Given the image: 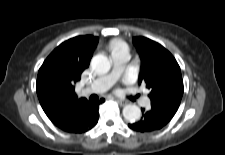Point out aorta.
I'll list each match as a JSON object with an SVG mask.
<instances>
[{
  "label": "aorta",
  "mask_w": 225,
  "mask_h": 155,
  "mask_svg": "<svg viewBox=\"0 0 225 155\" xmlns=\"http://www.w3.org/2000/svg\"><path fill=\"white\" fill-rule=\"evenodd\" d=\"M91 68L98 74H105L111 68V61L105 55H95L91 60ZM123 116L127 121L135 122L141 117V109L135 104H128L123 108Z\"/></svg>",
  "instance_id": "1"
}]
</instances>
